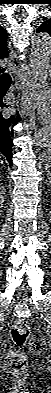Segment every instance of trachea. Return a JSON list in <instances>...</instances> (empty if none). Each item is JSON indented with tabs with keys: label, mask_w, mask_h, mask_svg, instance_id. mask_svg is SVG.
Returning a JSON list of instances; mask_svg holds the SVG:
<instances>
[{
	"label": "trachea",
	"mask_w": 51,
	"mask_h": 393,
	"mask_svg": "<svg viewBox=\"0 0 51 393\" xmlns=\"http://www.w3.org/2000/svg\"><path fill=\"white\" fill-rule=\"evenodd\" d=\"M0 82L2 84H10L12 82V77L8 72H3L1 74Z\"/></svg>",
	"instance_id": "obj_1"
}]
</instances>
